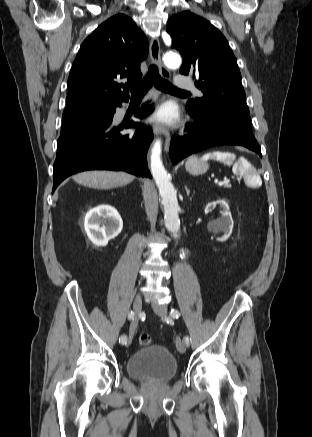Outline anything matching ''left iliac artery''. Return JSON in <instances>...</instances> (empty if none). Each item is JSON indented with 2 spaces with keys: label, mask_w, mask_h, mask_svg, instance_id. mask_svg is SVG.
Instances as JSON below:
<instances>
[{
  "label": "left iliac artery",
  "mask_w": 312,
  "mask_h": 437,
  "mask_svg": "<svg viewBox=\"0 0 312 437\" xmlns=\"http://www.w3.org/2000/svg\"><path fill=\"white\" fill-rule=\"evenodd\" d=\"M170 316L173 317V318H178L180 316V313H179V311L177 309H171ZM184 341H185L186 344H188L189 343V337L185 336L184 337Z\"/></svg>",
  "instance_id": "44dca946"
}]
</instances>
